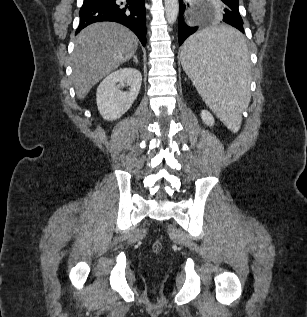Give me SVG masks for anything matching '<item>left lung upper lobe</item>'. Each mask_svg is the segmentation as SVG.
<instances>
[{
  "mask_svg": "<svg viewBox=\"0 0 307 317\" xmlns=\"http://www.w3.org/2000/svg\"><path fill=\"white\" fill-rule=\"evenodd\" d=\"M228 1H230L233 5H235L236 8L239 7V1L238 0H228Z\"/></svg>",
  "mask_w": 307,
  "mask_h": 317,
  "instance_id": "left-lung-upper-lobe-1",
  "label": "left lung upper lobe"
}]
</instances>
